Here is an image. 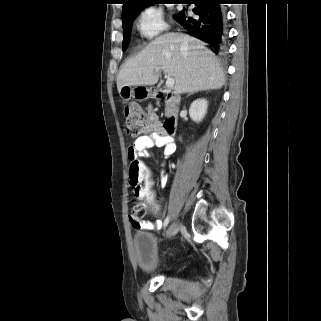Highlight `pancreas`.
Listing matches in <instances>:
<instances>
[{
    "mask_svg": "<svg viewBox=\"0 0 321 321\" xmlns=\"http://www.w3.org/2000/svg\"><path fill=\"white\" fill-rule=\"evenodd\" d=\"M174 113V109L172 108V106L170 104H166L165 107V115L166 116H170Z\"/></svg>",
    "mask_w": 321,
    "mask_h": 321,
    "instance_id": "1",
    "label": "pancreas"
}]
</instances>
